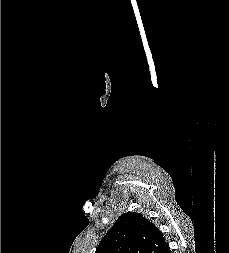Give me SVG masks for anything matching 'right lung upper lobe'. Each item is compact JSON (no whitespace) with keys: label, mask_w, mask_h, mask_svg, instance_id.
I'll use <instances>...</instances> for the list:
<instances>
[{"label":"right lung upper lobe","mask_w":229,"mask_h":253,"mask_svg":"<svg viewBox=\"0 0 229 253\" xmlns=\"http://www.w3.org/2000/svg\"><path fill=\"white\" fill-rule=\"evenodd\" d=\"M162 232L142 214H122L103 237L95 253H165Z\"/></svg>","instance_id":"obj_1"}]
</instances>
